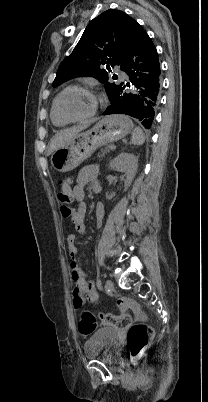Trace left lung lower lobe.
Returning a JSON list of instances; mask_svg holds the SVG:
<instances>
[{"instance_id":"obj_1","label":"left lung lower lobe","mask_w":208,"mask_h":402,"mask_svg":"<svg viewBox=\"0 0 208 402\" xmlns=\"http://www.w3.org/2000/svg\"><path fill=\"white\" fill-rule=\"evenodd\" d=\"M129 81L116 87L103 115L126 114L151 127L160 93V63L156 47L135 21L121 57Z\"/></svg>"}]
</instances>
